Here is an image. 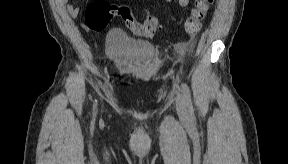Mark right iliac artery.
I'll use <instances>...</instances> for the list:
<instances>
[{
	"mask_svg": "<svg viewBox=\"0 0 288 164\" xmlns=\"http://www.w3.org/2000/svg\"><path fill=\"white\" fill-rule=\"evenodd\" d=\"M96 106H97V101H95V103H94V111L96 109Z\"/></svg>",
	"mask_w": 288,
	"mask_h": 164,
	"instance_id": "obj_1",
	"label": "right iliac artery"
}]
</instances>
